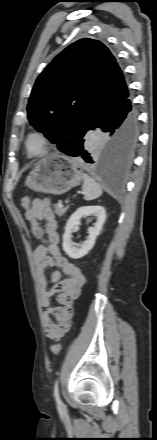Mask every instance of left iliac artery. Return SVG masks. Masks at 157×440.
Listing matches in <instances>:
<instances>
[{
	"label": "left iliac artery",
	"instance_id": "1",
	"mask_svg": "<svg viewBox=\"0 0 157 440\" xmlns=\"http://www.w3.org/2000/svg\"><path fill=\"white\" fill-rule=\"evenodd\" d=\"M54 397L58 406H63V403L60 399L59 389H58V379H56L54 384Z\"/></svg>",
	"mask_w": 157,
	"mask_h": 440
}]
</instances>
